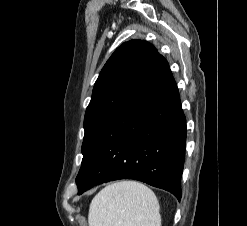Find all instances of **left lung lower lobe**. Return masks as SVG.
<instances>
[{
  "instance_id": "left-lung-lower-lobe-1",
  "label": "left lung lower lobe",
  "mask_w": 247,
  "mask_h": 226,
  "mask_svg": "<svg viewBox=\"0 0 247 226\" xmlns=\"http://www.w3.org/2000/svg\"><path fill=\"white\" fill-rule=\"evenodd\" d=\"M185 146L178 88L159 55L82 164L78 194L104 182L135 179L180 200Z\"/></svg>"
}]
</instances>
